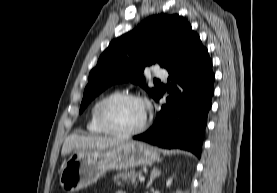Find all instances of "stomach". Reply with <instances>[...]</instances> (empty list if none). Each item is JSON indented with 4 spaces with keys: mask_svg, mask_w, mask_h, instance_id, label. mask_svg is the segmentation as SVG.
<instances>
[{
    "mask_svg": "<svg viewBox=\"0 0 277 193\" xmlns=\"http://www.w3.org/2000/svg\"><path fill=\"white\" fill-rule=\"evenodd\" d=\"M157 160L156 148L131 140L105 150L76 149L60 170V184L66 193H74L92 185L109 170L132 169Z\"/></svg>",
    "mask_w": 277,
    "mask_h": 193,
    "instance_id": "stomach-1",
    "label": "stomach"
}]
</instances>
